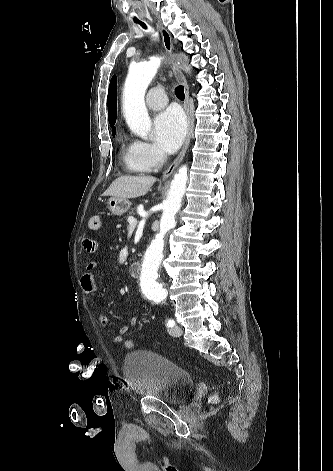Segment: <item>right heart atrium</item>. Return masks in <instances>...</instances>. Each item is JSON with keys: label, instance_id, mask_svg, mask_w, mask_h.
I'll list each match as a JSON object with an SVG mask.
<instances>
[{"label": "right heart atrium", "instance_id": "1", "mask_svg": "<svg viewBox=\"0 0 333 471\" xmlns=\"http://www.w3.org/2000/svg\"><path fill=\"white\" fill-rule=\"evenodd\" d=\"M130 150L135 161L147 171L160 168L164 162V155L154 145L146 141H132Z\"/></svg>", "mask_w": 333, "mask_h": 471}]
</instances>
